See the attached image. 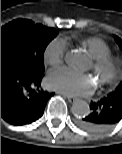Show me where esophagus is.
<instances>
[{
    "label": "esophagus",
    "instance_id": "1",
    "mask_svg": "<svg viewBox=\"0 0 122 154\" xmlns=\"http://www.w3.org/2000/svg\"><path fill=\"white\" fill-rule=\"evenodd\" d=\"M58 94H61V95H63L65 98H67V100L69 101V103H74V102L77 100V98H74V97H71V96H67V95L62 94V93H58Z\"/></svg>",
    "mask_w": 122,
    "mask_h": 154
}]
</instances>
